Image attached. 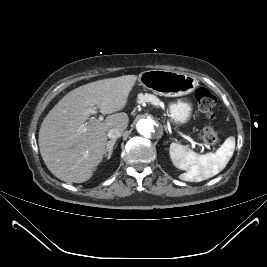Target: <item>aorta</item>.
I'll list each match as a JSON object with an SVG mask.
<instances>
[{
	"label": "aorta",
	"instance_id": "762f6f07",
	"mask_svg": "<svg viewBox=\"0 0 267 267\" xmlns=\"http://www.w3.org/2000/svg\"><path fill=\"white\" fill-rule=\"evenodd\" d=\"M137 131L143 135L144 137H151L156 129H157V124L154 120L152 119H149V118H143V119H140L138 122H137Z\"/></svg>",
	"mask_w": 267,
	"mask_h": 267
}]
</instances>
